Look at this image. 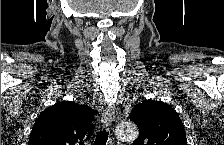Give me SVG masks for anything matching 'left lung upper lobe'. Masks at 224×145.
I'll use <instances>...</instances> for the list:
<instances>
[{
    "label": "left lung upper lobe",
    "mask_w": 224,
    "mask_h": 145,
    "mask_svg": "<svg viewBox=\"0 0 224 145\" xmlns=\"http://www.w3.org/2000/svg\"><path fill=\"white\" fill-rule=\"evenodd\" d=\"M130 119L139 128L135 145H187L181 119L164 102L143 100L134 106Z\"/></svg>",
    "instance_id": "1"
}]
</instances>
